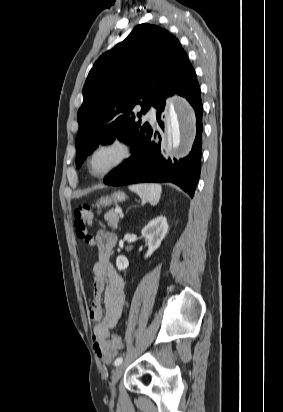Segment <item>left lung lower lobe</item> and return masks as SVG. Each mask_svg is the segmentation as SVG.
Instances as JSON below:
<instances>
[{"label":"left lung lower lobe","instance_id":"1","mask_svg":"<svg viewBox=\"0 0 283 412\" xmlns=\"http://www.w3.org/2000/svg\"><path fill=\"white\" fill-rule=\"evenodd\" d=\"M175 93L184 96L196 114L197 133L190 154L179 161L165 159L161 150V136L157 137L149 126L139 134L132 135L128 142L133 150L132 157L109 174L104 179L105 184L119 186L140 182H171L193 197L200 176L202 134V101L194 69L177 83ZM164 105L157 108V121L160 120ZM159 125L163 129L161 121Z\"/></svg>","mask_w":283,"mask_h":412}]
</instances>
